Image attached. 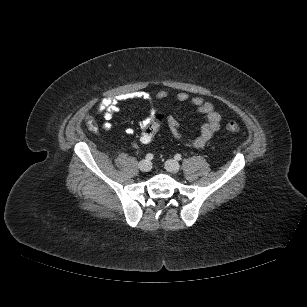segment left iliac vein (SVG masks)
Instances as JSON below:
<instances>
[{
	"label": "left iliac vein",
	"mask_w": 307,
	"mask_h": 307,
	"mask_svg": "<svg viewBox=\"0 0 307 307\" xmlns=\"http://www.w3.org/2000/svg\"><path fill=\"white\" fill-rule=\"evenodd\" d=\"M165 169L171 173H177L180 169V165L177 161L169 159L165 162Z\"/></svg>",
	"instance_id": "1"
}]
</instances>
